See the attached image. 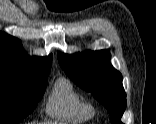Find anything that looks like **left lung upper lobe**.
<instances>
[{"mask_svg": "<svg viewBox=\"0 0 156 124\" xmlns=\"http://www.w3.org/2000/svg\"><path fill=\"white\" fill-rule=\"evenodd\" d=\"M108 50L68 55L58 53L61 68L82 89L90 92L110 114L112 124L120 121L126 108L122 75L110 64Z\"/></svg>", "mask_w": 156, "mask_h": 124, "instance_id": "5c2ea615", "label": "left lung upper lobe"}]
</instances>
